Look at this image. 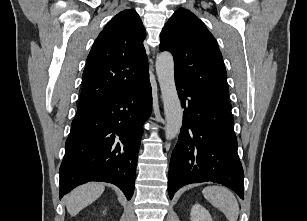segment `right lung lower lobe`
<instances>
[{"label": "right lung lower lobe", "instance_id": "obj_1", "mask_svg": "<svg viewBox=\"0 0 307 221\" xmlns=\"http://www.w3.org/2000/svg\"><path fill=\"white\" fill-rule=\"evenodd\" d=\"M151 104L148 77L141 86L76 113L59 171L60 198L80 184L104 181L131 199L142 125Z\"/></svg>", "mask_w": 307, "mask_h": 221}]
</instances>
